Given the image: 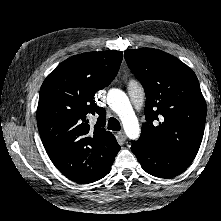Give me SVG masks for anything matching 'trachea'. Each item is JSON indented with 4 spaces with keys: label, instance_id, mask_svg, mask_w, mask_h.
<instances>
[{
    "label": "trachea",
    "instance_id": "1",
    "mask_svg": "<svg viewBox=\"0 0 221 221\" xmlns=\"http://www.w3.org/2000/svg\"><path fill=\"white\" fill-rule=\"evenodd\" d=\"M108 129L113 131H119L121 129L120 122L116 118L111 117L108 121Z\"/></svg>",
    "mask_w": 221,
    "mask_h": 221
}]
</instances>
